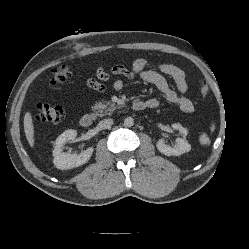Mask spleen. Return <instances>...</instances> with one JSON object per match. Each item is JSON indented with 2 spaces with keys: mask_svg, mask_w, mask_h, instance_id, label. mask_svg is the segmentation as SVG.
Masks as SVG:
<instances>
[{
  "mask_svg": "<svg viewBox=\"0 0 249 249\" xmlns=\"http://www.w3.org/2000/svg\"><path fill=\"white\" fill-rule=\"evenodd\" d=\"M210 128H211V131H214L215 125L212 124ZM199 142H200V144L203 145V146H208V145H210L211 140H210V138L207 136L206 133H202V134L199 136Z\"/></svg>",
  "mask_w": 249,
  "mask_h": 249,
  "instance_id": "1",
  "label": "spleen"
}]
</instances>
